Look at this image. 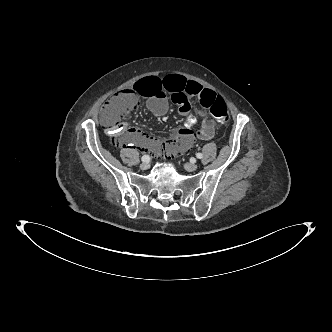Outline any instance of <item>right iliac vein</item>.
<instances>
[{
	"label": "right iliac vein",
	"instance_id": "right-iliac-vein-1",
	"mask_svg": "<svg viewBox=\"0 0 332 332\" xmlns=\"http://www.w3.org/2000/svg\"><path fill=\"white\" fill-rule=\"evenodd\" d=\"M149 167H150V165H149L148 162H143V163L140 164V168L142 170H147V169H149Z\"/></svg>",
	"mask_w": 332,
	"mask_h": 332
}]
</instances>
